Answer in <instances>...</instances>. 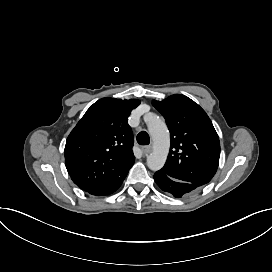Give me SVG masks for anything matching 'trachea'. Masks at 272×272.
Listing matches in <instances>:
<instances>
[{
    "instance_id": "1",
    "label": "trachea",
    "mask_w": 272,
    "mask_h": 272,
    "mask_svg": "<svg viewBox=\"0 0 272 272\" xmlns=\"http://www.w3.org/2000/svg\"><path fill=\"white\" fill-rule=\"evenodd\" d=\"M137 142L140 145H148L150 143V137L147 132L142 131L137 135Z\"/></svg>"
}]
</instances>
